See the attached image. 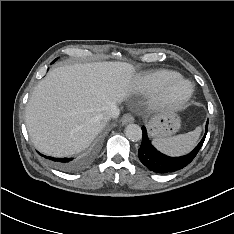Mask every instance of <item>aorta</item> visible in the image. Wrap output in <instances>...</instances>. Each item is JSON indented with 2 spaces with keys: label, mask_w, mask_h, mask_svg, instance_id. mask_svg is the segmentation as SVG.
<instances>
[{
  "label": "aorta",
  "mask_w": 234,
  "mask_h": 234,
  "mask_svg": "<svg viewBox=\"0 0 234 234\" xmlns=\"http://www.w3.org/2000/svg\"><path fill=\"white\" fill-rule=\"evenodd\" d=\"M125 134L131 141H139L142 138L141 127L137 124H129L125 128Z\"/></svg>",
  "instance_id": "obj_1"
}]
</instances>
